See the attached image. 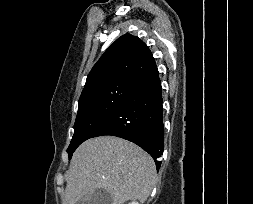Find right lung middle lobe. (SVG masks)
Wrapping results in <instances>:
<instances>
[{
	"label": "right lung middle lobe",
	"instance_id": "right-lung-middle-lobe-1",
	"mask_svg": "<svg viewBox=\"0 0 253 204\" xmlns=\"http://www.w3.org/2000/svg\"><path fill=\"white\" fill-rule=\"evenodd\" d=\"M136 82L119 81L94 88L82 94L78 101V113L74 125V135L67 149L69 159L73 152L107 120L131 92Z\"/></svg>",
	"mask_w": 253,
	"mask_h": 204
}]
</instances>
